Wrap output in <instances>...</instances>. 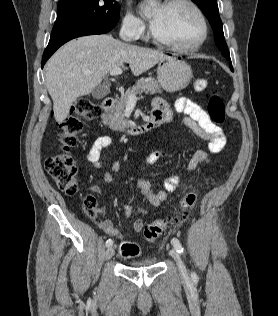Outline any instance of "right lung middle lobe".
Listing matches in <instances>:
<instances>
[{
    "label": "right lung middle lobe",
    "instance_id": "obj_1",
    "mask_svg": "<svg viewBox=\"0 0 278 316\" xmlns=\"http://www.w3.org/2000/svg\"><path fill=\"white\" fill-rule=\"evenodd\" d=\"M119 13L115 0H60L52 35L95 23L116 24Z\"/></svg>",
    "mask_w": 278,
    "mask_h": 316
}]
</instances>
